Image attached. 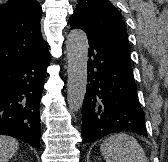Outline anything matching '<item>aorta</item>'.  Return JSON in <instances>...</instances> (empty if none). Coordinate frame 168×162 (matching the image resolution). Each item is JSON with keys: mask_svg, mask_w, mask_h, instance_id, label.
Segmentation results:
<instances>
[{"mask_svg": "<svg viewBox=\"0 0 168 162\" xmlns=\"http://www.w3.org/2000/svg\"><path fill=\"white\" fill-rule=\"evenodd\" d=\"M68 61L67 100L69 109L77 112L83 104L87 85L88 39L81 29H72L66 41Z\"/></svg>", "mask_w": 168, "mask_h": 162, "instance_id": "762f6f07", "label": "aorta"}]
</instances>
